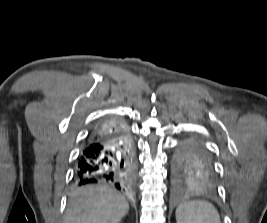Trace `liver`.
<instances>
[{"label":"liver","instance_id":"obj_1","mask_svg":"<svg viewBox=\"0 0 267 223\" xmlns=\"http://www.w3.org/2000/svg\"><path fill=\"white\" fill-rule=\"evenodd\" d=\"M128 210L126 199L113 189L87 185L72 194L64 223H118Z\"/></svg>","mask_w":267,"mask_h":223}]
</instances>
